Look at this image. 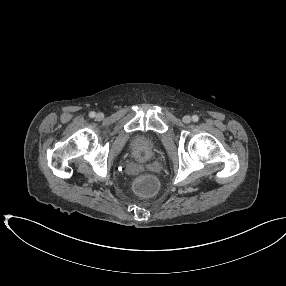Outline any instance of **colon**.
I'll return each mask as SVG.
<instances>
[{"label":"colon","mask_w":286,"mask_h":286,"mask_svg":"<svg viewBox=\"0 0 286 286\" xmlns=\"http://www.w3.org/2000/svg\"><path fill=\"white\" fill-rule=\"evenodd\" d=\"M134 188L138 194L143 196H150L157 191L158 181L152 175H142L135 182Z\"/></svg>","instance_id":"colon-1"}]
</instances>
